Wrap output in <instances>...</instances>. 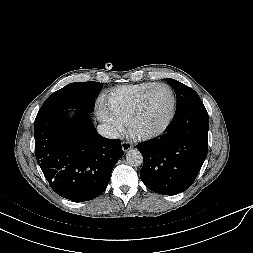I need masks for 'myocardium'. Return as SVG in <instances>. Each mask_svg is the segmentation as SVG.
Here are the masks:
<instances>
[{"label": "myocardium", "mask_w": 253, "mask_h": 253, "mask_svg": "<svg viewBox=\"0 0 253 253\" xmlns=\"http://www.w3.org/2000/svg\"><path fill=\"white\" fill-rule=\"evenodd\" d=\"M159 86H164V87L168 88L171 93V96H172L171 114H170L169 118L167 119V121L160 128L155 129V130H151V131H138L135 129V123L138 120V118L143 110L145 101H146L149 93L153 89H155L156 87H159ZM176 113H177V97H176L174 89L167 83H163V82L154 83L150 87H148L139 97L138 102H137L133 112L131 113V115L128 118V121L126 123L128 131L133 137L141 139V140H149V139L156 138L167 131V129L171 126L172 122L174 121Z\"/></svg>", "instance_id": "myocardium-1"}]
</instances>
